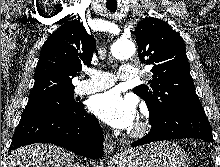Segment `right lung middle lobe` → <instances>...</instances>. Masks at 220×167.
<instances>
[{
    "instance_id": "obj_1",
    "label": "right lung middle lobe",
    "mask_w": 220,
    "mask_h": 167,
    "mask_svg": "<svg viewBox=\"0 0 220 167\" xmlns=\"http://www.w3.org/2000/svg\"><path fill=\"white\" fill-rule=\"evenodd\" d=\"M79 102L74 99V89L66 90L56 94L44 96L36 99H29L23 113L41 107H54L60 109H73Z\"/></svg>"
}]
</instances>
